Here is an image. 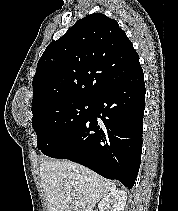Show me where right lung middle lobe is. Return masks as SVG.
I'll return each mask as SVG.
<instances>
[{"mask_svg": "<svg viewBox=\"0 0 178 211\" xmlns=\"http://www.w3.org/2000/svg\"><path fill=\"white\" fill-rule=\"evenodd\" d=\"M92 103V99L64 100L33 114L38 149L46 155L78 130L90 115Z\"/></svg>", "mask_w": 178, "mask_h": 211, "instance_id": "1", "label": "right lung middle lobe"}]
</instances>
